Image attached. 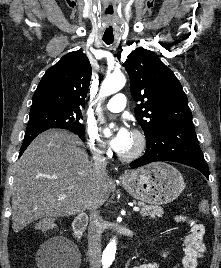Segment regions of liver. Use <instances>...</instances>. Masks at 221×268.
Here are the masks:
<instances>
[{
  "instance_id": "6515ba94",
  "label": "liver",
  "mask_w": 221,
  "mask_h": 268,
  "mask_svg": "<svg viewBox=\"0 0 221 268\" xmlns=\"http://www.w3.org/2000/svg\"><path fill=\"white\" fill-rule=\"evenodd\" d=\"M79 138L47 130L34 139L14 168L12 229L21 231L44 217H64L101 206L114 187L97 174ZM65 195L62 200L59 198Z\"/></svg>"
}]
</instances>
